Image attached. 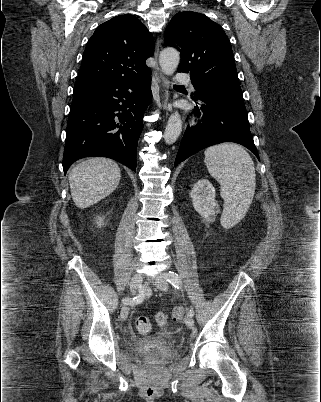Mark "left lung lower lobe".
I'll list each match as a JSON object with an SVG mask.
<instances>
[{
	"instance_id": "left-lung-lower-lobe-1",
	"label": "left lung lower lobe",
	"mask_w": 321,
	"mask_h": 402,
	"mask_svg": "<svg viewBox=\"0 0 321 402\" xmlns=\"http://www.w3.org/2000/svg\"><path fill=\"white\" fill-rule=\"evenodd\" d=\"M192 99L196 104L195 115H202L203 122L186 129L175 166L192 154L222 142L241 144L259 159L240 87L213 86L199 91Z\"/></svg>"
}]
</instances>
